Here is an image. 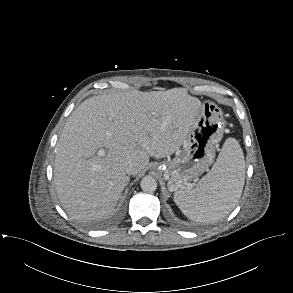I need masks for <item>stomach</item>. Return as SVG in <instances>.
Returning <instances> with one entry per match:
<instances>
[{
    "instance_id": "0dacf381",
    "label": "stomach",
    "mask_w": 293,
    "mask_h": 293,
    "mask_svg": "<svg viewBox=\"0 0 293 293\" xmlns=\"http://www.w3.org/2000/svg\"><path fill=\"white\" fill-rule=\"evenodd\" d=\"M224 127L223 112L217 104L210 100L203 102L191 131L175 157L159 165L168 181L169 191L187 188L208 169L214 161Z\"/></svg>"
}]
</instances>
